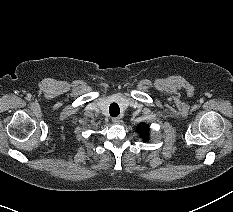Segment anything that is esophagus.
I'll use <instances>...</instances> for the list:
<instances>
[{
	"mask_svg": "<svg viewBox=\"0 0 233 212\" xmlns=\"http://www.w3.org/2000/svg\"><path fill=\"white\" fill-rule=\"evenodd\" d=\"M112 122L115 124H119L121 122V119H120V117H114V118H112Z\"/></svg>",
	"mask_w": 233,
	"mask_h": 212,
	"instance_id": "34e87169",
	"label": "esophagus"
}]
</instances>
